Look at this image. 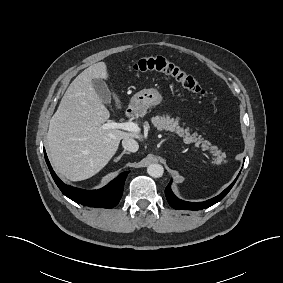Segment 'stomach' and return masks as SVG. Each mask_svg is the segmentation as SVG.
<instances>
[{
	"label": "stomach",
	"mask_w": 283,
	"mask_h": 283,
	"mask_svg": "<svg viewBox=\"0 0 283 283\" xmlns=\"http://www.w3.org/2000/svg\"><path fill=\"white\" fill-rule=\"evenodd\" d=\"M163 97L157 88L143 89L132 98L130 108L139 114L146 113L147 109L161 103Z\"/></svg>",
	"instance_id": "obj_1"
}]
</instances>
